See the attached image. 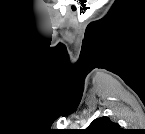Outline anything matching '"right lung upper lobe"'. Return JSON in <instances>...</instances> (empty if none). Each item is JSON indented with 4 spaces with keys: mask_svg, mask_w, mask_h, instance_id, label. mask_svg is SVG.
<instances>
[{
    "mask_svg": "<svg viewBox=\"0 0 145 134\" xmlns=\"http://www.w3.org/2000/svg\"><path fill=\"white\" fill-rule=\"evenodd\" d=\"M120 130L118 123L112 122L110 118L103 116L93 120L82 132L83 134H117Z\"/></svg>",
    "mask_w": 145,
    "mask_h": 134,
    "instance_id": "obj_1",
    "label": "right lung upper lobe"
}]
</instances>
